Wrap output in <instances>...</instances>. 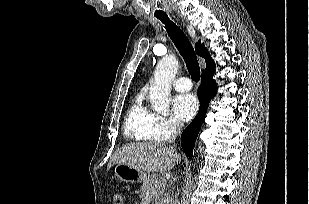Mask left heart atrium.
I'll return each mask as SVG.
<instances>
[{"mask_svg":"<svg viewBox=\"0 0 309 204\" xmlns=\"http://www.w3.org/2000/svg\"><path fill=\"white\" fill-rule=\"evenodd\" d=\"M173 108L181 121H188L193 118L198 110L197 98L190 93L177 95L173 100Z\"/></svg>","mask_w":309,"mask_h":204,"instance_id":"1","label":"left heart atrium"}]
</instances>
